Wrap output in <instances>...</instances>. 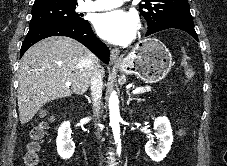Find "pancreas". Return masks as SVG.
Here are the masks:
<instances>
[{
  "mask_svg": "<svg viewBox=\"0 0 227 166\" xmlns=\"http://www.w3.org/2000/svg\"><path fill=\"white\" fill-rule=\"evenodd\" d=\"M143 91L141 93L149 92L151 91V87H141Z\"/></svg>",
  "mask_w": 227,
  "mask_h": 166,
  "instance_id": "pancreas-1",
  "label": "pancreas"
}]
</instances>
